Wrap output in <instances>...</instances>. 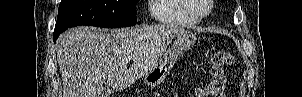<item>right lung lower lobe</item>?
I'll return each mask as SVG.
<instances>
[{
	"label": "right lung lower lobe",
	"mask_w": 302,
	"mask_h": 97,
	"mask_svg": "<svg viewBox=\"0 0 302 97\" xmlns=\"http://www.w3.org/2000/svg\"><path fill=\"white\" fill-rule=\"evenodd\" d=\"M61 34V32H57V31H54V42L56 41V39L58 38V36Z\"/></svg>",
	"instance_id": "obj_1"
}]
</instances>
